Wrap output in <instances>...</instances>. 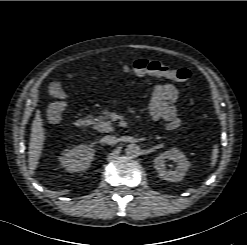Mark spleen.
<instances>
[{
  "instance_id": "3e777b00",
  "label": "spleen",
  "mask_w": 247,
  "mask_h": 245,
  "mask_svg": "<svg viewBox=\"0 0 247 245\" xmlns=\"http://www.w3.org/2000/svg\"><path fill=\"white\" fill-rule=\"evenodd\" d=\"M218 145H214V148L212 150V155H211V167L213 168L216 165L217 158H218Z\"/></svg>"
}]
</instances>
